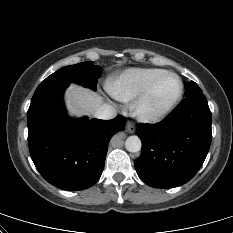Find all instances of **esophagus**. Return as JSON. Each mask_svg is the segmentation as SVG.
Returning <instances> with one entry per match:
<instances>
[{
	"instance_id": "34e87169",
	"label": "esophagus",
	"mask_w": 233,
	"mask_h": 233,
	"mask_svg": "<svg viewBox=\"0 0 233 233\" xmlns=\"http://www.w3.org/2000/svg\"><path fill=\"white\" fill-rule=\"evenodd\" d=\"M126 130L129 133H134L135 132V125H134V123H132L131 121H127Z\"/></svg>"
}]
</instances>
